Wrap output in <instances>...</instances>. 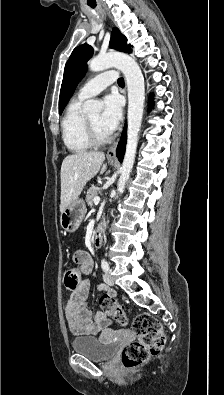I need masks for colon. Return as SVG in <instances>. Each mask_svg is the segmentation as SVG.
<instances>
[{
	"label": "colon",
	"mask_w": 224,
	"mask_h": 395,
	"mask_svg": "<svg viewBox=\"0 0 224 395\" xmlns=\"http://www.w3.org/2000/svg\"><path fill=\"white\" fill-rule=\"evenodd\" d=\"M80 272L76 267H69L66 271V284L70 289L78 285ZM102 311L113 316L122 326L128 324V317L120 304L110 295L100 298ZM132 328L137 339L125 345L120 357L126 368H134L157 355L163 349L166 335L157 319L148 314H140L134 318Z\"/></svg>",
	"instance_id": "obj_1"
}]
</instances>
